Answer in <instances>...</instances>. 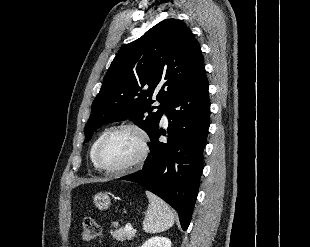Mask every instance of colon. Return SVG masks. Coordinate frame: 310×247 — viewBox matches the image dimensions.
<instances>
[{
	"label": "colon",
	"mask_w": 310,
	"mask_h": 247,
	"mask_svg": "<svg viewBox=\"0 0 310 247\" xmlns=\"http://www.w3.org/2000/svg\"><path fill=\"white\" fill-rule=\"evenodd\" d=\"M101 233L99 224L92 218H85L82 224V238L86 242L95 240Z\"/></svg>",
	"instance_id": "obj_1"
}]
</instances>
